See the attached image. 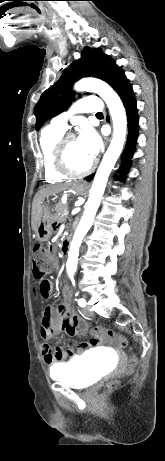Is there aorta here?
Segmentation results:
<instances>
[{
  "instance_id": "obj_1",
  "label": "aorta",
  "mask_w": 165,
  "mask_h": 461,
  "mask_svg": "<svg viewBox=\"0 0 165 461\" xmlns=\"http://www.w3.org/2000/svg\"><path fill=\"white\" fill-rule=\"evenodd\" d=\"M74 89L78 92H94L105 101L113 121V136L94 177L83 216L81 217L71 242L66 263L69 276H73L76 272L79 247L84 236L93 224L94 217L104 194L108 177L122 152L127 128V118L123 103L120 97L107 83L95 78H84L74 85Z\"/></svg>"
}]
</instances>
